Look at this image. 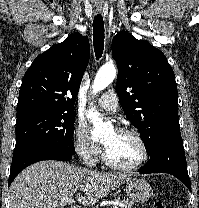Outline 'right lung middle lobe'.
Instances as JSON below:
<instances>
[{"instance_id": "dd1d6c3e", "label": "right lung middle lobe", "mask_w": 199, "mask_h": 208, "mask_svg": "<svg viewBox=\"0 0 199 208\" xmlns=\"http://www.w3.org/2000/svg\"><path fill=\"white\" fill-rule=\"evenodd\" d=\"M16 145L13 158L22 152L53 146L74 154V111L30 108L17 111Z\"/></svg>"}]
</instances>
